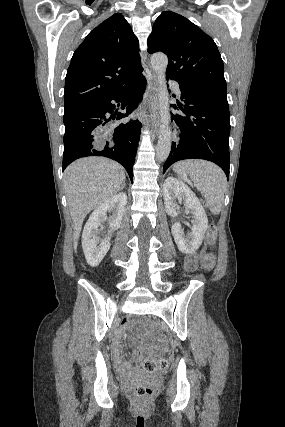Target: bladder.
Here are the masks:
<instances>
[{
	"label": "bladder",
	"instance_id": "31cf9c89",
	"mask_svg": "<svg viewBox=\"0 0 285 427\" xmlns=\"http://www.w3.org/2000/svg\"><path fill=\"white\" fill-rule=\"evenodd\" d=\"M146 377L153 378L154 376H153V374H147Z\"/></svg>",
	"mask_w": 285,
	"mask_h": 427
}]
</instances>
